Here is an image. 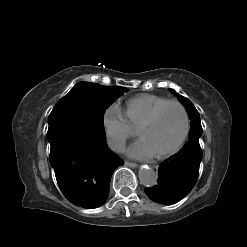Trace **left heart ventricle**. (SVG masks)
<instances>
[{
  "label": "left heart ventricle",
  "instance_id": "b2bd125f",
  "mask_svg": "<svg viewBox=\"0 0 247 247\" xmlns=\"http://www.w3.org/2000/svg\"><path fill=\"white\" fill-rule=\"evenodd\" d=\"M184 127L183 116L177 106L166 107L155 122L139 130L138 136L145 140L154 154L171 148L180 138Z\"/></svg>",
  "mask_w": 247,
  "mask_h": 247
}]
</instances>
